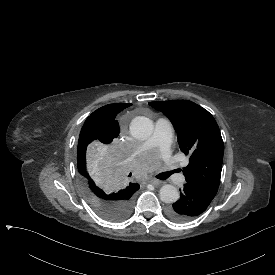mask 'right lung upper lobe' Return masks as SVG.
<instances>
[{
  "label": "right lung upper lobe",
  "instance_id": "obj_1",
  "mask_svg": "<svg viewBox=\"0 0 275 275\" xmlns=\"http://www.w3.org/2000/svg\"><path fill=\"white\" fill-rule=\"evenodd\" d=\"M131 104L116 103L103 106L94 111L85 121L80 136L91 135L100 139L103 144H109L119 135V124L116 115ZM77 160L80 166V157L77 150ZM139 189L137 183H130L123 190L124 196L133 195Z\"/></svg>",
  "mask_w": 275,
  "mask_h": 275
}]
</instances>
